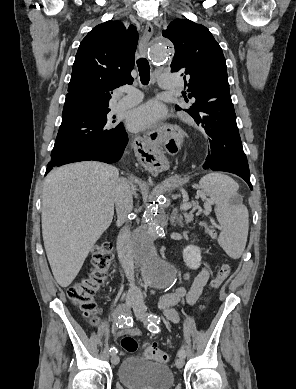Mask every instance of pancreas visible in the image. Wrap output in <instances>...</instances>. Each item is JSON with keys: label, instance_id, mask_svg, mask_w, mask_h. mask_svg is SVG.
I'll use <instances>...</instances> for the list:
<instances>
[{"label": "pancreas", "instance_id": "pancreas-1", "mask_svg": "<svg viewBox=\"0 0 296 389\" xmlns=\"http://www.w3.org/2000/svg\"><path fill=\"white\" fill-rule=\"evenodd\" d=\"M196 209V207L193 208V210L189 213H184L183 214V217L186 221V223H190L194 220V215H193V211ZM201 211V210H200Z\"/></svg>", "mask_w": 296, "mask_h": 389}]
</instances>
